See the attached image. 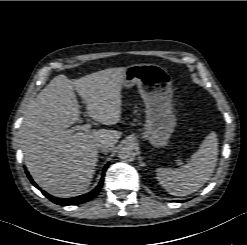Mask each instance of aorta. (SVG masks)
I'll return each instance as SVG.
<instances>
[{"instance_id":"1","label":"aorta","mask_w":247,"mask_h":245,"mask_svg":"<svg viewBox=\"0 0 247 245\" xmlns=\"http://www.w3.org/2000/svg\"><path fill=\"white\" fill-rule=\"evenodd\" d=\"M135 156L136 152L132 145H124L118 152V157L120 158V160L127 163L134 161Z\"/></svg>"}]
</instances>
